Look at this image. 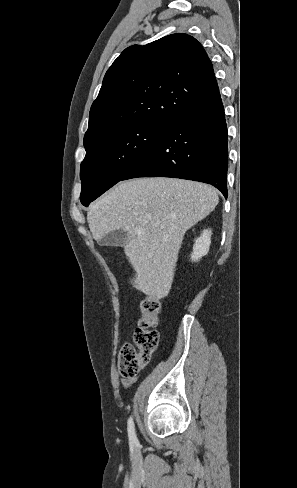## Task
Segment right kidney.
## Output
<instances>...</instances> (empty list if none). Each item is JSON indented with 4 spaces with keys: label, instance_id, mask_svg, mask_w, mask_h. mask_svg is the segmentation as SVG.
Masks as SVG:
<instances>
[{
    "label": "right kidney",
    "instance_id": "right-kidney-1",
    "mask_svg": "<svg viewBox=\"0 0 297 488\" xmlns=\"http://www.w3.org/2000/svg\"><path fill=\"white\" fill-rule=\"evenodd\" d=\"M211 234V230L204 229L200 237L195 239L193 251L191 253L192 262H198L199 259L208 253L211 244Z\"/></svg>",
    "mask_w": 297,
    "mask_h": 488
}]
</instances>
